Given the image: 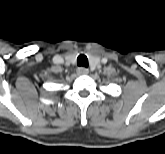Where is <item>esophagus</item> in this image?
<instances>
[{
  "label": "esophagus",
  "mask_w": 165,
  "mask_h": 154,
  "mask_svg": "<svg viewBox=\"0 0 165 154\" xmlns=\"http://www.w3.org/2000/svg\"><path fill=\"white\" fill-rule=\"evenodd\" d=\"M77 73L79 75H86L89 73V70L85 67H79V68H77Z\"/></svg>",
  "instance_id": "1"
}]
</instances>
